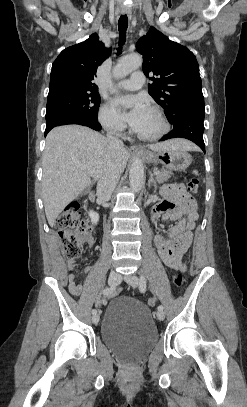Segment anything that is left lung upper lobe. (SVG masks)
Wrapping results in <instances>:
<instances>
[{
    "label": "left lung upper lobe",
    "mask_w": 247,
    "mask_h": 407,
    "mask_svg": "<svg viewBox=\"0 0 247 407\" xmlns=\"http://www.w3.org/2000/svg\"><path fill=\"white\" fill-rule=\"evenodd\" d=\"M143 55V72L154 74L149 94L165 110L170 123L187 111L205 112L196 57L186 47L151 27L136 44Z\"/></svg>",
    "instance_id": "left-lung-upper-lobe-1"
}]
</instances>
